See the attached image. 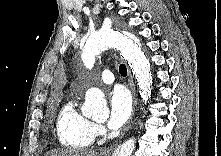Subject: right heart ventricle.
Segmentation results:
<instances>
[{
  "label": "right heart ventricle",
  "instance_id": "1",
  "mask_svg": "<svg viewBox=\"0 0 221 156\" xmlns=\"http://www.w3.org/2000/svg\"><path fill=\"white\" fill-rule=\"evenodd\" d=\"M56 131L60 144L73 149L86 148L95 138L93 122L77 110L72 100L60 109Z\"/></svg>",
  "mask_w": 221,
  "mask_h": 156
}]
</instances>
